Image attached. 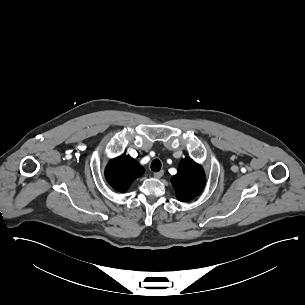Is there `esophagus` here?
I'll use <instances>...</instances> for the list:
<instances>
[{"instance_id":"1","label":"esophagus","mask_w":305,"mask_h":305,"mask_svg":"<svg viewBox=\"0 0 305 305\" xmlns=\"http://www.w3.org/2000/svg\"><path fill=\"white\" fill-rule=\"evenodd\" d=\"M164 175V170L154 173V177L159 179Z\"/></svg>"}]
</instances>
